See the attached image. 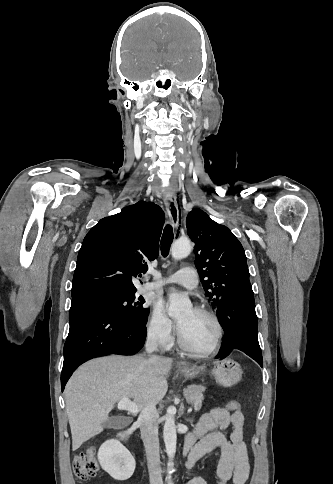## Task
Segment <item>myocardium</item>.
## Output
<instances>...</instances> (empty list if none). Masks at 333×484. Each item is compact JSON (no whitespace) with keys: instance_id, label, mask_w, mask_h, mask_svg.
Here are the masks:
<instances>
[{"instance_id":"1","label":"myocardium","mask_w":333,"mask_h":484,"mask_svg":"<svg viewBox=\"0 0 333 484\" xmlns=\"http://www.w3.org/2000/svg\"><path fill=\"white\" fill-rule=\"evenodd\" d=\"M193 310L198 312V313H201V314L208 316L214 322V324L216 326V330H217L215 340H214L212 346L210 348H208L207 350H197V349L193 348L192 346H190L186 342V340L184 339V337L181 333L179 325H178V328H177L178 344H179V346L182 350H184V351H186V352H188V353H190V354H192L196 357H202V358L208 357V356L214 354L221 345V342H222V339H223V334H224L223 326H222V323H221L219 317L217 316V314L215 312H213L212 310H210L206 307H202V306H196V307L193 308Z\"/></svg>"}]
</instances>
